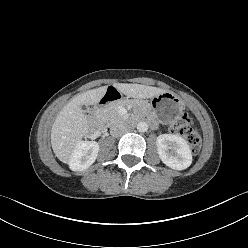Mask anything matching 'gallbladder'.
<instances>
[{"instance_id":"gallbladder-1","label":"gallbladder","mask_w":248,"mask_h":248,"mask_svg":"<svg viewBox=\"0 0 248 248\" xmlns=\"http://www.w3.org/2000/svg\"><path fill=\"white\" fill-rule=\"evenodd\" d=\"M82 110L87 112V107L86 106H81Z\"/></svg>"}]
</instances>
